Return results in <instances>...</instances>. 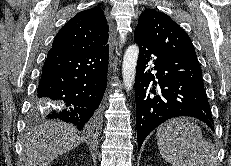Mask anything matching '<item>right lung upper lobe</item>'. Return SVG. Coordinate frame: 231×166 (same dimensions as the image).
Instances as JSON below:
<instances>
[{"label":"right lung upper lobe","mask_w":231,"mask_h":166,"mask_svg":"<svg viewBox=\"0 0 231 166\" xmlns=\"http://www.w3.org/2000/svg\"><path fill=\"white\" fill-rule=\"evenodd\" d=\"M109 26L103 11L94 7L70 19L57 33L51 49L89 52L107 46Z\"/></svg>","instance_id":"cb5924a9"}]
</instances>
